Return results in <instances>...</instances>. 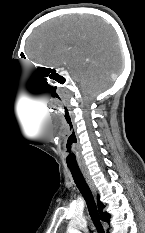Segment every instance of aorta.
Returning <instances> with one entry per match:
<instances>
[{
  "instance_id": "obj_1",
  "label": "aorta",
  "mask_w": 145,
  "mask_h": 233,
  "mask_svg": "<svg viewBox=\"0 0 145 233\" xmlns=\"http://www.w3.org/2000/svg\"><path fill=\"white\" fill-rule=\"evenodd\" d=\"M87 228V222L84 217L74 218L69 222L67 233H82Z\"/></svg>"
}]
</instances>
